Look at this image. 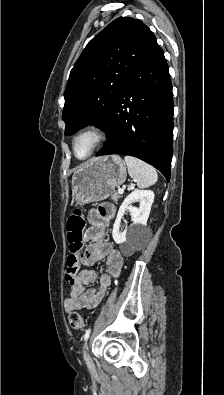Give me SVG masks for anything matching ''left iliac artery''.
<instances>
[{"instance_id": "left-iliac-artery-1", "label": "left iliac artery", "mask_w": 224, "mask_h": 395, "mask_svg": "<svg viewBox=\"0 0 224 395\" xmlns=\"http://www.w3.org/2000/svg\"><path fill=\"white\" fill-rule=\"evenodd\" d=\"M90 332H91V328H88V329L85 331V334H84V336H83L85 341L89 338Z\"/></svg>"}]
</instances>
